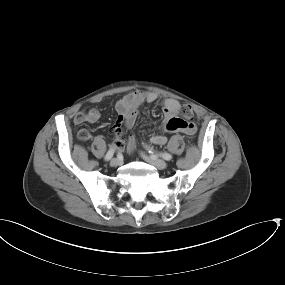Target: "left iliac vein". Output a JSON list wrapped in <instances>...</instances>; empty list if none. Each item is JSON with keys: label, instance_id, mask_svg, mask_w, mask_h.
Returning a JSON list of instances; mask_svg holds the SVG:
<instances>
[{"label": "left iliac vein", "instance_id": "4c4485c4", "mask_svg": "<svg viewBox=\"0 0 285 285\" xmlns=\"http://www.w3.org/2000/svg\"><path fill=\"white\" fill-rule=\"evenodd\" d=\"M143 159L149 164L155 166L159 170H163L167 167V163L164 160L159 159L158 157L154 155L152 156L143 155Z\"/></svg>", "mask_w": 285, "mask_h": 285}]
</instances>
